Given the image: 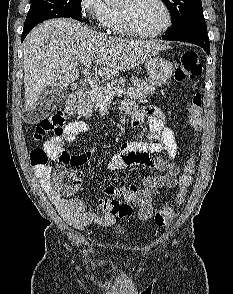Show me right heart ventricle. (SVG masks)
<instances>
[{
  "mask_svg": "<svg viewBox=\"0 0 233 294\" xmlns=\"http://www.w3.org/2000/svg\"><path fill=\"white\" fill-rule=\"evenodd\" d=\"M107 28L115 34L125 35L120 9L116 7L110 8V14L107 20Z\"/></svg>",
  "mask_w": 233,
  "mask_h": 294,
  "instance_id": "e07e8e85",
  "label": "right heart ventricle"
}]
</instances>
